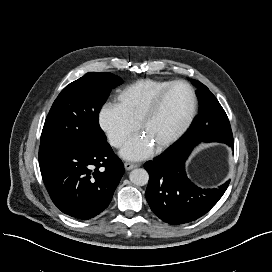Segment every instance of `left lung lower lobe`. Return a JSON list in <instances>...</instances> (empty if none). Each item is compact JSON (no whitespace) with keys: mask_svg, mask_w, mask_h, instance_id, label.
<instances>
[{"mask_svg":"<svg viewBox=\"0 0 272 272\" xmlns=\"http://www.w3.org/2000/svg\"><path fill=\"white\" fill-rule=\"evenodd\" d=\"M200 141L212 142L198 130L189 129L164 153L144 164L149 173L146 199L152 211L166 223L179 225L203 216L219 201L230 183L202 189L187 178L185 161ZM218 142L234 146L233 136Z\"/></svg>","mask_w":272,"mask_h":272,"instance_id":"1","label":"left lung lower lobe"}]
</instances>
